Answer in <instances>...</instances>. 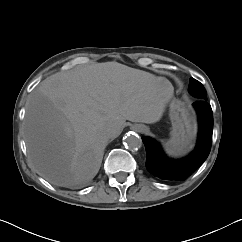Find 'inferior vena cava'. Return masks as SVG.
Segmentation results:
<instances>
[{"label": "inferior vena cava", "mask_w": 242, "mask_h": 242, "mask_svg": "<svg viewBox=\"0 0 242 242\" xmlns=\"http://www.w3.org/2000/svg\"><path fill=\"white\" fill-rule=\"evenodd\" d=\"M122 131V126L118 122H112L107 128V135L111 139H116Z\"/></svg>", "instance_id": "inferior-vena-cava-1"}]
</instances>
